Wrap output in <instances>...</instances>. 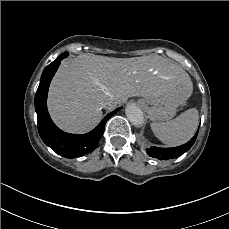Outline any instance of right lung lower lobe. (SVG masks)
<instances>
[{"label":"right lung lower lobe","mask_w":229,"mask_h":229,"mask_svg":"<svg viewBox=\"0 0 229 229\" xmlns=\"http://www.w3.org/2000/svg\"><path fill=\"white\" fill-rule=\"evenodd\" d=\"M68 56L65 52L43 71L40 84L35 95L38 131L43 142L57 154L66 158H76L91 153L102 137L107 120L121 108H117L103 118L100 124L84 135L69 134L61 131L51 120L47 110V94L50 82L61 61Z\"/></svg>","instance_id":"1"}]
</instances>
